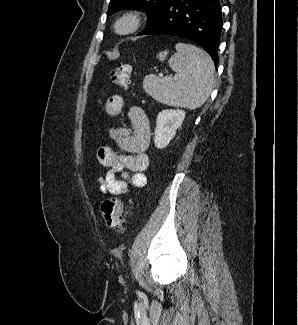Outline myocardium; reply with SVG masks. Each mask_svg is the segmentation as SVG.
Returning a JSON list of instances; mask_svg holds the SVG:
<instances>
[{"label":"myocardium","mask_w":298,"mask_h":325,"mask_svg":"<svg viewBox=\"0 0 298 325\" xmlns=\"http://www.w3.org/2000/svg\"><path fill=\"white\" fill-rule=\"evenodd\" d=\"M139 26V22L135 17L128 16L120 20L116 26L117 34L121 36H128L133 34Z\"/></svg>","instance_id":"obj_1"}]
</instances>
